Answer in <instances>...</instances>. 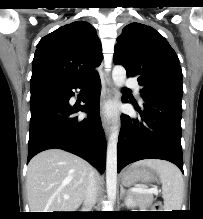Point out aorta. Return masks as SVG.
I'll return each instance as SVG.
<instances>
[{
    "instance_id": "1",
    "label": "aorta",
    "mask_w": 203,
    "mask_h": 219,
    "mask_svg": "<svg viewBox=\"0 0 203 219\" xmlns=\"http://www.w3.org/2000/svg\"><path fill=\"white\" fill-rule=\"evenodd\" d=\"M112 79L115 85L116 92L120 94V90L126 79V70L121 65H116L112 71ZM117 144H118V126L114 125L111 130L107 145V160H106V186L107 194L110 199L116 195L117 184Z\"/></svg>"
}]
</instances>
